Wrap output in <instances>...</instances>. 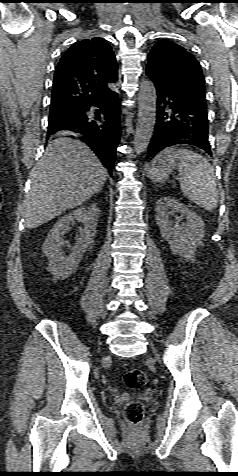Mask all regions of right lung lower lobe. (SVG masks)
Here are the masks:
<instances>
[{
  "mask_svg": "<svg viewBox=\"0 0 238 476\" xmlns=\"http://www.w3.org/2000/svg\"><path fill=\"white\" fill-rule=\"evenodd\" d=\"M93 106L99 108L94 116L89 113ZM120 112L118 95L110 91L70 119L49 123L48 136L62 130L81 134L111 175L121 134Z\"/></svg>",
  "mask_w": 238,
  "mask_h": 476,
  "instance_id": "1",
  "label": "right lung lower lobe"
}]
</instances>
